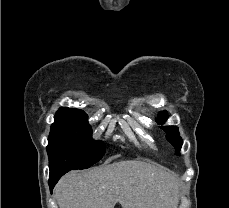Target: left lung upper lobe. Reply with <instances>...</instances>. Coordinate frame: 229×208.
I'll return each mask as SVG.
<instances>
[{"label":"left lung upper lobe","mask_w":229,"mask_h":208,"mask_svg":"<svg viewBox=\"0 0 229 208\" xmlns=\"http://www.w3.org/2000/svg\"><path fill=\"white\" fill-rule=\"evenodd\" d=\"M169 115L166 111L159 112L157 122L163 123L168 119ZM167 133V140L175 147L176 153L179 154V150L182 146V139L179 136L178 128L175 126L161 127Z\"/></svg>","instance_id":"left-lung-upper-lobe-1"}]
</instances>
